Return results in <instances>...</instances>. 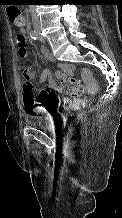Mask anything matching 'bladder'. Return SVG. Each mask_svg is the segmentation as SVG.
<instances>
[{"label": "bladder", "instance_id": "bladder-1", "mask_svg": "<svg viewBox=\"0 0 122 218\" xmlns=\"http://www.w3.org/2000/svg\"><path fill=\"white\" fill-rule=\"evenodd\" d=\"M46 119V115L42 113H30L26 117V121L31 125H36L41 128H45L46 125L44 123Z\"/></svg>", "mask_w": 122, "mask_h": 218}]
</instances>
